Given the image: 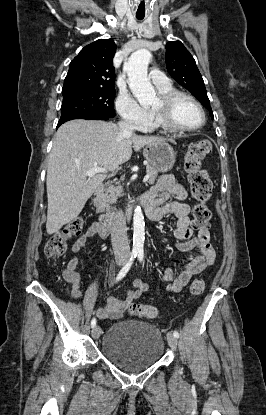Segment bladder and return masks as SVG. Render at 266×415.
Instances as JSON below:
<instances>
[{
    "mask_svg": "<svg viewBox=\"0 0 266 415\" xmlns=\"http://www.w3.org/2000/svg\"><path fill=\"white\" fill-rule=\"evenodd\" d=\"M164 339L149 323L126 320L114 323L101 345L103 356L122 370L138 372L156 364L163 356Z\"/></svg>",
    "mask_w": 266,
    "mask_h": 415,
    "instance_id": "bladder-1",
    "label": "bladder"
}]
</instances>
